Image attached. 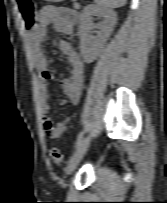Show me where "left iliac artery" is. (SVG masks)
<instances>
[{"label":"left iliac artery","mask_w":167,"mask_h":203,"mask_svg":"<svg viewBox=\"0 0 167 203\" xmlns=\"http://www.w3.org/2000/svg\"><path fill=\"white\" fill-rule=\"evenodd\" d=\"M82 139H83V132H81L78 137H77V140H76V143H75V148H77L80 143L82 142Z\"/></svg>","instance_id":"1"}]
</instances>
